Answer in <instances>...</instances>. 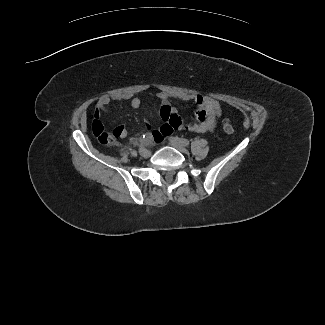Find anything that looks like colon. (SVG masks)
<instances>
[{"instance_id":"5ec220e1","label":"colon","mask_w":325,"mask_h":325,"mask_svg":"<svg viewBox=\"0 0 325 325\" xmlns=\"http://www.w3.org/2000/svg\"><path fill=\"white\" fill-rule=\"evenodd\" d=\"M223 128L228 134H232L234 132V128L228 120L224 121ZM92 131L97 140L103 145H112L119 138V133L116 130H106L101 121L97 119H95L92 123Z\"/></svg>"}]
</instances>
